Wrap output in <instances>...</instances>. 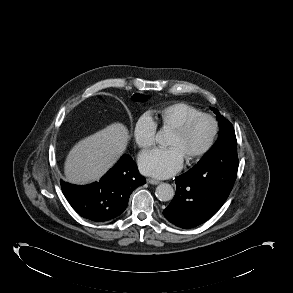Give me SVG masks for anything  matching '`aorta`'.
<instances>
[{"label": "aorta", "mask_w": 293, "mask_h": 293, "mask_svg": "<svg viewBox=\"0 0 293 293\" xmlns=\"http://www.w3.org/2000/svg\"><path fill=\"white\" fill-rule=\"evenodd\" d=\"M168 133L165 130H160L156 134V141L160 145H164L167 143ZM174 189L170 184L162 183L156 187L155 195L160 201H170L174 197Z\"/></svg>", "instance_id": "aorta-1"}]
</instances>
